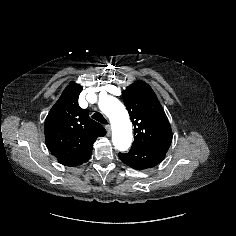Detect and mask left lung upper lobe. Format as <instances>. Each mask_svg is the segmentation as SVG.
Segmentation results:
<instances>
[{
  "label": "left lung upper lobe",
  "mask_w": 236,
  "mask_h": 236,
  "mask_svg": "<svg viewBox=\"0 0 236 236\" xmlns=\"http://www.w3.org/2000/svg\"><path fill=\"white\" fill-rule=\"evenodd\" d=\"M122 98L134 125L132 146L169 148L171 127L152 88L146 82H135L122 92Z\"/></svg>",
  "instance_id": "obj_1"
}]
</instances>
